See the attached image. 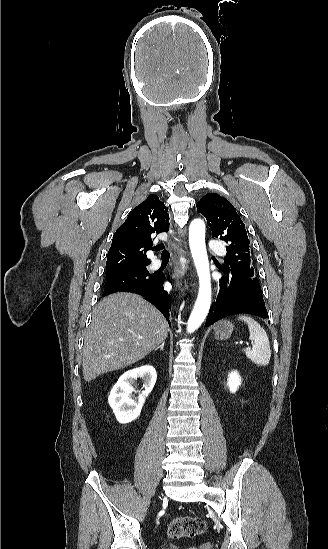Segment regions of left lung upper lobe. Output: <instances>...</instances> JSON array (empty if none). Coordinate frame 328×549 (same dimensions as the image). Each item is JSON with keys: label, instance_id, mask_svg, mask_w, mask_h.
<instances>
[{"label": "left lung upper lobe", "instance_id": "left-lung-upper-lobe-1", "mask_svg": "<svg viewBox=\"0 0 328 549\" xmlns=\"http://www.w3.org/2000/svg\"><path fill=\"white\" fill-rule=\"evenodd\" d=\"M197 210L206 217L212 230V237L226 242L227 254L223 269L226 272H237L245 276H254L251 263L249 239L245 225L236 209L224 197L208 193L197 203Z\"/></svg>", "mask_w": 328, "mask_h": 549}]
</instances>
